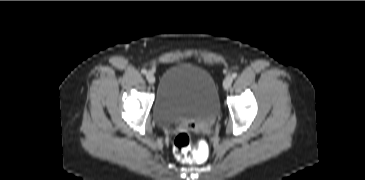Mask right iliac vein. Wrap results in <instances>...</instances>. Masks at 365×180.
Wrapping results in <instances>:
<instances>
[{
    "mask_svg": "<svg viewBox=\"0 0 365 180\" xmlns=\"http://www.w3.org/2000/svg\"><path fill=\"white\" fill-rule=\"evenodd\" d=\"M146 79H147V81H148L150 84H154V83H155V81H156L155 76H154V75H153V73H151V72H148V73L146 74Z\"/></svg>",
    "mask_w": 365,
    "mask_h": 180,
    "instance_id": "1",
    "label": "right iliac vein"
}]
</instances>
